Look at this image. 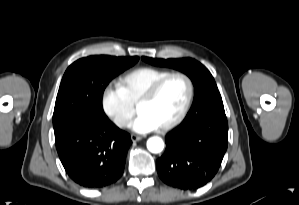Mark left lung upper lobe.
<instances>
[{
	"label": "left lung upper lobe",
	"instance_id": "5c2ea615",
	"mask_svg": "<svg viewBox=\"0 0 299 205\" xmlns=\"http://www.w3.org/2000/svg\"><path fill=\"white\" fill-rule=\"evenodd\" d=\"M142 59L152 65L177 69L191 78L195 87V96L193 105L185 119H198L212 111L224 110L214 78L208 69L198 61L191 58L164 60L142 57Z\"/></svg>",
	"mask_w": 299,
	"mask_h": 205
}]
</instances>
